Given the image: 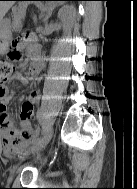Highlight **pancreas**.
<instances>
[{"mask_svg": "<svg viewBox=\"0 0 137 189\" xmlns=\"http://www.w3.org/2000/svg\"><path fill=\"white\" fill-rule=\"evenodd\" d=\"M12 11H13L14 26H20L22 19H24V16H25V8L18 6V7H14Z\"/></svg>", "mask_w": 137, "mask_h": 189, "instance_id": "pancreas-1", "label": "pancreas"}]
</instances>
